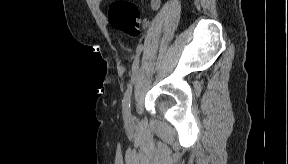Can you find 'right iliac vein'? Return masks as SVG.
Here are the masks:
<instances>
[{
    "label": "right iliac vein",
    "instance_id": "right-iliac-vein-1",
    "mask_svg": "<svg viewBox=\"0 0 288 164\" xmlns=\"http://www.w3.org/2000/svg\"><path fill=\"white\" fill-rule=\"evenodd\" d=\"M128 119H130V114H129V116H128L127 120H128Z\"/></svg>",
    "mask_w": 288,
    "mask_h": 164
}]
</instances>
